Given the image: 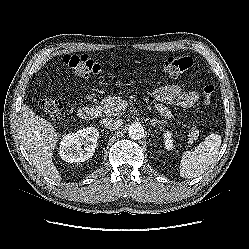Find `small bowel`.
Returning a JSON list of instances; mask_svg holds the SVG:
<instances>
[{
  "label": "small bowel",
  "mask_w": 249,
  "mask_h": 249,
  "mask_svg": "<svg viewBox=\"0 0 249 249\" xmlns=\"http://www.w3.org/2000/svg\"><path fill=\"white\" fill-rule=\"evenodd\" d=\"M152 96L158 101L181 107H191L199 98L198 93L187 91L179 85L159 87L153 91Z\"/></svg>",
  "instance_id": "c3829d8e"
}]
</instances>
